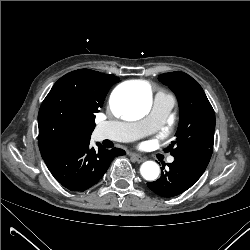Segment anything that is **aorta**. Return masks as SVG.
I'll list each match as a JSON object with an SVG mask.
<instances>
[{
  "mask_svg": "<svg viewBox=\"0 0 250 250\" xmlns=\"http://www.w3.org/2000/svg\"><path fill=\"white\" fill-rule=\"evenodd\" d=\"M152 104L151 89L145 85H132L117 88L111 97V106L115 114L127 120L143 118ZM141 175L148 181L159 176L160 168L154 161H146L141 165Z\"/></svg>",
  "mask_w": 250,
  "mask_h": 250,
  "instance_id": "1",
  "label": "aorta"
}]
</instances>
